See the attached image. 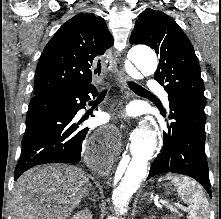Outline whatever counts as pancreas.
<instances>
[{
  "label": "pancreas",
  "instance_id": "cf45deb5",
  "mask_svg": "<svg viewBox=\"0 0 221 219\" xmlns=\"http://www.w3.org/2000/svg\"><path fill=\"white\" fill-rule=\"evenodd\" d=\"M168 209L171 211V212H174L176 214H178V216H182V214L174 207L172 206H168Z\"/></svg>",
  "mask_w": 221,
  "mask_h": 219
}]
</instances>
